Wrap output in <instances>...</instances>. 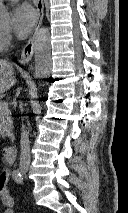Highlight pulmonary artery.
I'll return each instance as SVG.
<instances>
[{"label": "pulmonary artery", "instance_id": "1", "mask_svg": "<svg viewBox=\"0 0 128 213\" xmlns=\"http://www.w3.org/2000/svg\"><path fill=\"white\" fill-rule=\"evenodd\" d=\"M10 1H18V0H10Z\"/></svg>", "mask_w": 128, "mask_h": 213}]
</instances>
